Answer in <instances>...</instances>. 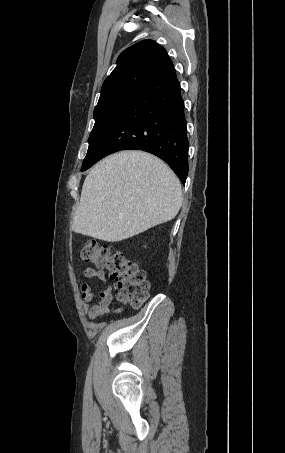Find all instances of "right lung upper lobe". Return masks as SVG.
Here are the masks:
<instances>
[{
  "mask_svg": "<svg viewBox=\"0 0 285 453\" xmlns=\"http://www.w3.org/2000/svg\"><path fill=\"white\" fill-rule=\"evenodd\" d=\"M173 67L166 50L155 41L143 40L124 50L117 66L101 88L98 104L136 92L146 82Z\"/></svg>",
  "mask_w": 285,
  "mask_h": 453,
  "instance_id": "cb5924a9",
  "label": "right lung upper lobe"
}]
</instances>
